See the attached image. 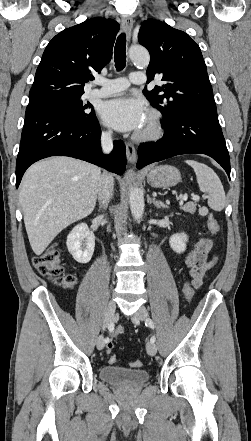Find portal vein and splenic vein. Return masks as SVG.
Returning a JSON list of instances; mask_svg holds the SVG:
<instances>
[{"instance_id": "obj_1", "label": "portal vein and splenic vein", "mask_w": 251, "mask_h": 441, "mask_svg": "<svg viewBox=\"0 0 251 441\" xmlns=\"http://www.w3.org/2000/svg\"><path fill=\"white\" fill-rule=\"evenodd\" d=\"M187 195L185 194L183 197H182V201H186L187 200ZM192 199L193 200H197V199H199V196L198 195H194V194H192Z\"/></svg>"}]
</instances>
